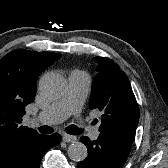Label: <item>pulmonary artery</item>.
<instances>
[{"label": "pulmonary artery", "instance_id": "1", "mask_svg": "<svg viewBox=\"0 0 168 168\" xmlns=\"http://www.w3.org/2000/svg\"><path fill=\"white\" fill-rule=\"evenodd\" d=\"M90 85L91 78L86 72L72 71L69 74L68 86L63 97L42 109L37 120L44 124H56L78 113L87 98ZM99 134L98 127H93L90 131L92 139H97Z\"/></svg>", "mask_w": 168, "mask_h": 168}]
</instances>
